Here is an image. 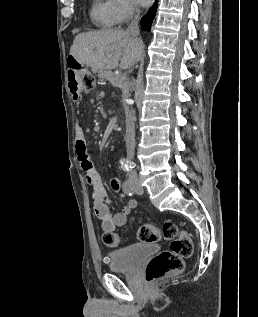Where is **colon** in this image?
<instances>
[{"instance_id": "5ec220e1", "label": "colon", "mask_w": 258, "mask_h": 317, "mask_svg": "<svg viewBox=\"0 0 258 317\" xmlns=\"http://www.w3.org/2000/svg\"><path fill=\"white\" fill-rule=\"evenodd\" d=\"M69 66L79 68L82 77V85L85 92L95 88L94 75L78 65L75 59L68 58ZM138 237L143 242H157L161 237L170 241L168 250L153 256L145 266V278L149 283L156 282L168 274L180 272L184 269L185 259L193 253V242L189 234L180 231L173 222H166L162 230L153 224H144L138 230ZM103 243L110 248L119 247L123 238L115 232H105L102 237Z\"/></svg>"}]
</instances>
